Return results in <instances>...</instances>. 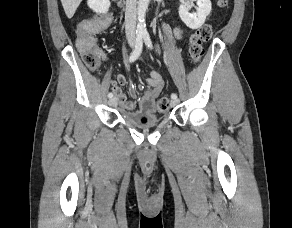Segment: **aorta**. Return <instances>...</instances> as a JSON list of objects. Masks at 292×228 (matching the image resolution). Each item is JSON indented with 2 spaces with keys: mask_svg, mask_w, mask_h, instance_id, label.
Returning <instances> with one entry per match:
<instances>
[{
  "mask_svg": "<svg viewBox=\"0 0 292 228\" xmlns=\"http://www.w3.org/2000/svg\"><path fill=\"white\" fill-rule=\"evenodd\" d=\"M150 0H139L138 1V25H137V31L142 33L146 32V24H145V16L148 9Z\"/></svg>",
  "mask_w": 292,
  "mask_h": 228,
  "instance_id": "762f6f07",
  "label": "aorta"
}]
</instances>
